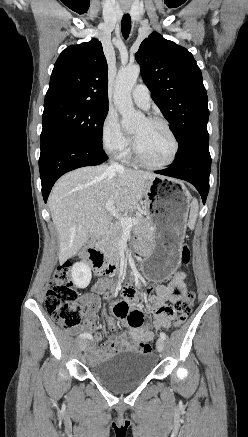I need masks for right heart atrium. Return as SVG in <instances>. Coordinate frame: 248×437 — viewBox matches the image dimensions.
Wrapping results in <instances>:
<instances>
[{"label": "right heart atrium", "mask_w": 248, "mask_h": 437, "mask_svg": "<svg viewBox=\"0 0 248 437\" xmlns=\"http://www.w3.org/2000/svg\"><path fill=\"white\" fill-rule=\"evenodd\" d=\"M101 139L103 147L114 154L124 156L129 150L131 139L123 130L118 115L109 110L102 122Z\"/></svg>", "instance_id": "obj_1"}]
</instances>
